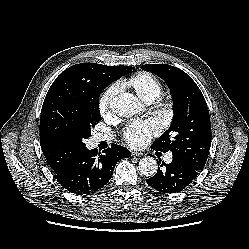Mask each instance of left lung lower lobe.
Masks as SVG:
<instances>
[{
    "label": "left lung lower lobe",
    "mask_w": 249,
    "mask_h": 249,
    "mask_svg": "<svg viewBox=\"0 0 249 249\" xmlns=\"http://www.w3.org/2000/svg\"><path fill=\"white\" fill-rule=\"evenodd\" d=\"M159 162L161 163V161ZM199 172L188 166L183 160L173 156L170 164L162 162L157 173L147 179L146 182L150 187L162 194L176 193L189 186Z\"/></svg>",
    "instance_id": "1"
}]
</instances>
